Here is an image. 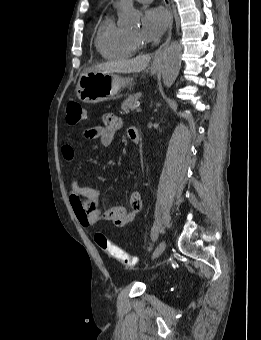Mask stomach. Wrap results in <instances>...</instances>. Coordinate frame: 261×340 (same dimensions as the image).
I'll return each instance as SVG.
<instances>
[{
    "instance_id": "obj_1",
    "label": "stomach",
    "mask_w": 261,
    "mask_h": 340,
    "mask_svg": "<svg viewBox=\"0 0 261 340\" xmlns=\"http://www.w3.org/2000/svg\"><path fill=\"white\" fill-rule=\"evenodd\" d=\"M161 63L154 61L149 68L155 74ZM133 78L121 77L115 73L104 71H86L79 77L77 83V97L85 103H98L113 99L121 88L132 86Z\"/></svg>"
}]
</instances>
